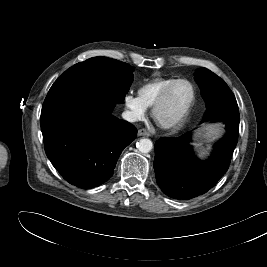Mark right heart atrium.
<instances>
[{
  "label": "right heart atrium",
  "instance_id": "1",
  "mask_svg": "<svg viewBox=\"0 0 267 267\" xmlns=\"http://www.w3.org/2000/svg\"><path fill=\"white\" fill-rule=\"evenodd\" d=\"M124 103L131 120H140L145 116L147 106L142 102L138 95H135L132 92L127 93L124 97Z\"/></svg>",
  "mask_w": 267,
  "mask_h": 267
}]
</instances>
